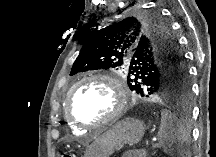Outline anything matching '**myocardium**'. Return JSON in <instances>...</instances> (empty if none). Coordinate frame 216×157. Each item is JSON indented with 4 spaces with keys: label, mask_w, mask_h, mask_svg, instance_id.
<instances>
[{
    "label": "myocardium",
    "mask_w": 216,
    "mask_h": 157,
    "mask_svg": "<svg viewBox=\"0 0 216 157\" xmlns=\"http://www.w3.org/2000/svg\"><path fill=\"white\" fill-rule=\"evenodd\" d=\"M98 81L106 86H108L114 93V106L111 112L104 118L93 121V122H84L76 118L71 110V100L73 91L80 85L86 82ZM128 104V93L124 84L117 79L116 77L108 74L95 73L82 77L76 81L67 93L66 98V115L70 123L81 127V128H91L101 125H108L115 122L125 111Z\"/></svg>",
    "instance_id": "f54148a6"
}]
</instances>
